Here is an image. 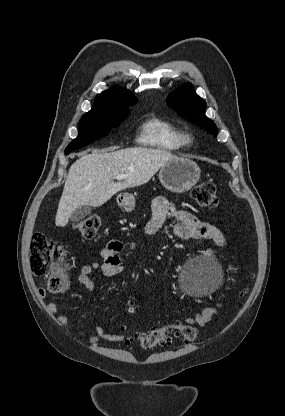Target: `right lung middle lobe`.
Returning <instances> with one entry per match:
<instances>
[{"instance_id":"1","label":"right lung middle lobe","mask_w":285,"mask_h":416,"mask_svg":"<svg viewBox=\"0 0 285 416\" xmlns=\"http://www.w3.org/2000/svg\"><path fill=\"white\" fill-rule=\"evenodd\" d=\"M128 114V108L114 110L91 109L81 118L78 136L67 146L65 153L79 149L96 139L108 135L111 129L118 127Z\"/></svg>"}]
</instances>
